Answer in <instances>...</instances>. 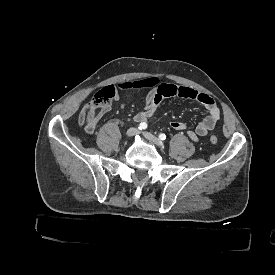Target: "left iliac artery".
I'll list each match as a JSON object with an SVG mask.
<instances>
[{
	"label": "left iliac artery",
	"instance_id": "44dca946",
	"mask_svg": "<svg viewBox=\"0 0 275 275\" xmlns=\"http://www.w3.org/2000/svg\"><path fill=\"white\" fill-rule=\"evenodd\" d=\"M159 138H160L161 140H165V139H166V135H165L164 133H160V134H159Z\"/></svg>",
	"mask_w": 275,
	"mask_h": 275
}]
</instances>
